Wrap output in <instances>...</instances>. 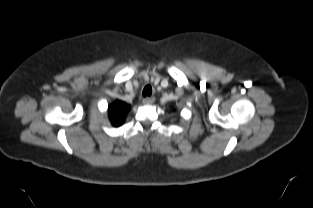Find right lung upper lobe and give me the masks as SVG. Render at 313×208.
<instances>
[{
	"label": "right lung upper lobe",
	"mask_w": 313,
	"mask_h": 208,
	"mask_svg": "<svg viewBox=\"0 0 313 208\" xmlns=\"http://www.w3.org/2000/svg\"><path fill=\"white\" fill-rule=\"evenodd\" d=\"M129 110L130 105L122 101H116L113 104L109 105L108 113L111 124L115 127L122 125Z\"/></svg>",
	"instance_id": "right-lung-upper-lobe-1"
}]
</instances>
